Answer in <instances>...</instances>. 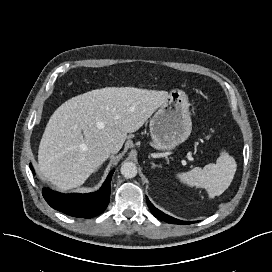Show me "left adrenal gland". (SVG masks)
I'll list each match as a JSON object with an SVG mask.
<instances>
[{
  "instance_id": "a2214340",
  "label": "left adrenal gland",
  "mask_w": 272,
  "mask_h": 272,
  "mask_svg": "<svg viewBox=\"0 0 272 272\" xmlns=\"http://www.w3.org/2000/svg\"><path fill=\"white\" fill-rule=\"evenodd\" d=\"M151 164H152V168L161 167V165H156L154 162H151Z\"/></svg>"
}]
</instances>
